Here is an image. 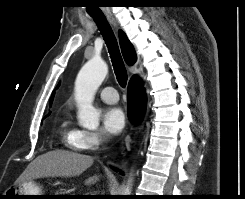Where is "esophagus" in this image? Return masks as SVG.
<instances>
[{
    "label": "esophagus",
    "mask_w": 245,
    "mask_h": 199,
    "mask_svg": "<svg viewBox=\"0 0 245 199\" xmlns=\"http://www.w3.org/2000/svg\"><path fill=\"white\" fill-rule=\"evenodd\" d=\"M106 16H107L109 22H110L114 27H116V21H115L114 17L112 16V14L108 13V14H106Z\"/></svg>",
    "instance_id": "obj_1"
}]
</instances>
